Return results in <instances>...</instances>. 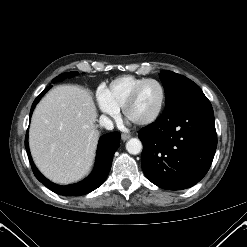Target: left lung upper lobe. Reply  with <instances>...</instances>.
<instances>
[{"mask_svg": "<svg viewBox=\"0 0 247 247\" xmlns=\"http://www.w3.org/2000/svg\"><path fill=\"white\" fill-rule=\"evenodd\" d=\"M159 76L165 89L166 107L183 96L202 92L196 83L172 71H161Z\"/></svg>", "mask_w": 247, "mask_h": 247, "instance_id": "1", "label": "left lung upper lobe"}]
</instances>
